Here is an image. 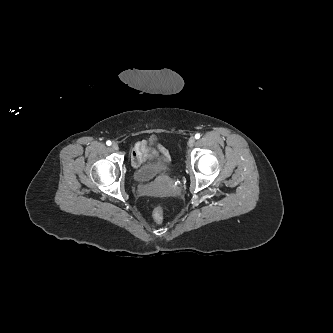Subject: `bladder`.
<instances>
[{"label":"bladder","mask_w":333,"mask_h":333,"mask_svg":"<svg viewBox=\"0 0 333 333\" xmlns=\"http://www.w3.org/2000/svg\"><path fill=\"white\" fill-rule=\"evenodd\" d=\"M165 167L166 164L163 159H153L137 167L133 173V177L140 182L150 181L165 169Z\"/></svg>","instance_id":"31cf9c89"}]
</instances>
